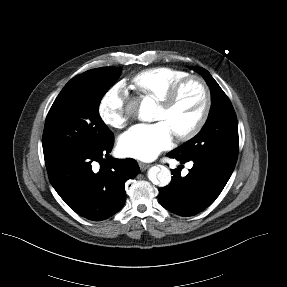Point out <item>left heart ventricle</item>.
<instances>
[{
	"label": "left heart ventricle",
	"instance_id": "1",
	"mask_svg": "<svg viewBox=\"0 0 287 287\" xmlns=\"http://www.w3.org/2000/svg\"><path fill=\"white\" fill-rule=\"evenodd\" d=\"M204 106V94L200 85L192 82L185 87L177 104L170 111L160 106L155 121L164 122L173 134L190 129L200 117Z\"/></svg>",
	"mask_w": 287,
	"mask_h": 287
}]
</instances>
